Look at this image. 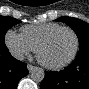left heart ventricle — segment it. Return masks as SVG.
I'll list each match as a JSON object with an SVG mask.
<instances>
[{"label": "left heart ventricle", "mask_w": 89, "mask_h": 89, "mask_svg": "<svg viewBox=\"0 0 89 89\" xmlns=\"http://www.w3.org/2000/svg\"><path fill=\"white\" fill-rule=\"evenodd\" d=\"M74 47L75 38L73 34L63 30L55 34L43 47L41 56L47 63L58 64L69 58Z\"/></svg>", "instance_id": "b2bd125f"}]
</instances>
